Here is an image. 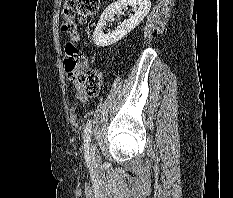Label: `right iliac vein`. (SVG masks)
Here are the masks:
<instances>
[{
	"label": "right iliac vein",
	"instance_id": "right-iliac-vein-1",
	"mask_svg": "<svg viewBox=\"0 0 233 198\" xmlns=\"http://www.w3.org/2000/svg\"><path fill=\"white\" fill-rule=\"evenodd\" d=\"M91 157L94 165L97 166L100 164V157L94 150H91Z\"/></svg>",
	"mask_w": 233,
	"mask_h": 198
}]
</instances>
